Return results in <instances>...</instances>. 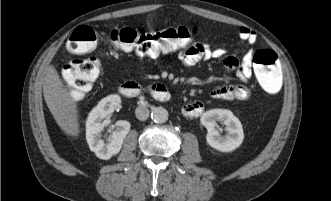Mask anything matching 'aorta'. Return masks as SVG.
Here are the masks:
<instances>
[{
    "label": "aorta",
    "instance_id": "obj_1",
    "mask_svg": "<svg viewBox=\"0 0 331 201\" xmlns=\"http://www.w3.org/2000/svg\"><path fill=\"white\" fill-rule=\"evenodd\" d=\"M151 118L154 122L162 123L168 119V112L163 107H155L152 109Z\"/></svg>",
    "mask_w": 331,
    "mask_h": 201
}]
</instances>
